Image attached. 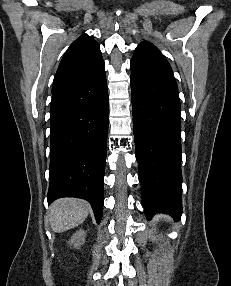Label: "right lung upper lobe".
Segmentation results:
<instances>
[{"mask_svg": "<svg viewBox=\"0 0 231 286\" xmlns=\"http://www.w3.org/2000/svg\"><path fill=\"white\" fill-rule=\"evenodd\" d=\"M105 70L98 43L87 34L81 35L68 48L58 67L52 93L97 76Z\"/></svg>", "mask_w": 231, "mask_h": 286, "instance_id": "1", "label": "right lung upper lobe"}]
</instances>
